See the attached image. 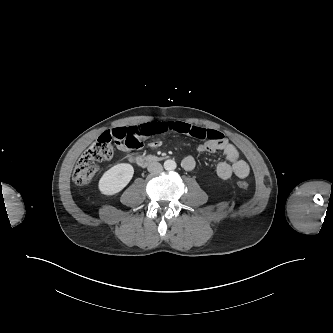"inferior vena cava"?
I'll use <instances>...</instances> for the list:
<instances>
[{
  "label": "inferior vena cava",
  "mask_w": 333,
  "mask_h": 333,
  "mask_svg": "<svg viewBox=\"0 0 333 333\" xmlns=\"http://www.w3.org/2000/svg\"><path fill=\"white\" fill-rule=\"evenodd\" d=\"M147 169L150 173H158V172H161L163 170V167L158 162H152V163L149 164Z\"/></svg>",
  "instance_id": "obj_1"
}]
</instances>
